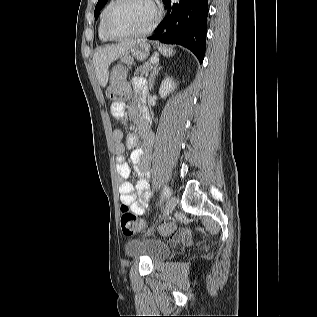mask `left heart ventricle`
<instances>
[{"label": "left heart ventricle", "mask_w": 317, "mask_h": 317, "mask_svg": "<svg viewBox=\"0 0 317 317\" xmlns=\"http://www.w3.org/2000/svg\"><path fill=\"white\" fill-rule=\"evenodd\" d=\"M153 15L147 0H124L114 10L109 28L116 35L137 33L148 26Z\"/></svg>", "instance_id": "left-heart-ventricle-1"}]
</instances>
